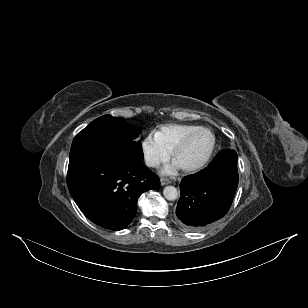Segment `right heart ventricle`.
Wrapping results in <instances>:
<instances>
[{
	"instance_id": "1",
	"label": "right heart ventricle",
	"mask_w": 308,
	"mask_h": 308,
	"mask_svg": "<svg viewBox=\"0 0 308 308\" xmlns=\"http://www.w3.org/2000/svg\"><path fill=\"white\" fill-rule=\"evenodd\" d=\"M198 125L193 124H166L160 126L154 132L155 139L159 144L165 148L169 153L174 147L190 132L199 128Z\"/></svg>"
}]
</instances>
